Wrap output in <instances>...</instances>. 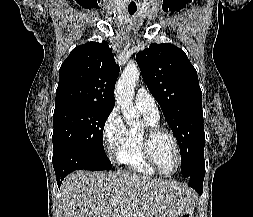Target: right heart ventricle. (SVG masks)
<instances>
[{
  "instance_id": "e07e8e85",
  "label": "right heart ventricle",
  "mask_w": 253,
  "mask_h": 217,
  "mask_svg": "<svg viewBox=\"0 0 253 217\" xmlns=\"http://www.w3.org/2000/svg\"><path fill=\"white\" fill-rule=\"evenodd\" d=\"M139 110L144 118V126L158 125V117H154L141 109ZM142 129L129 128L126 130L123 141L116 149V160L136 173L155 175L156 171L149 165L142 152Z\"/></svg>"
}]
</instances>
